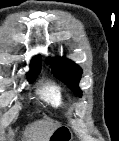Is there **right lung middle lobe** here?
Returning <instances> with one entry per match:
<instances>
[{"label":"right lung middle lobe","mask_w":119,"mask_h":141,"mask_svg":"<svg viewBox=\"0 0 119 141\" xmlns=\"http://www.w3.org/2000/svg\"><path fill=\"white\" fill-rule=\"evenodd\" d=\"M39 73H40V71H36V72L28 74L27 78H28L29 82L32 83Z\"/></svg>","instance_id":"obj_1"}]
</instances>
